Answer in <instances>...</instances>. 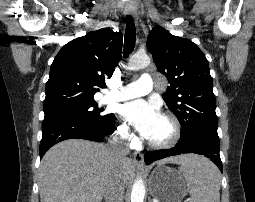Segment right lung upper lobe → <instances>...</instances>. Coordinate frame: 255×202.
<instances>
[{"instance_id":"obj_1","label":"right lung upper lobe","mask_w":255,"mask_h":202,"mask_svg":"<svg viewBox=\"0 0 255 202\" xmlns=\"http://www.w3.org/2000/svg\"><path fill=\"white\" fill-rule=\"evenodd\" d=\"M122 33L103 28L64 45L56 55L46 85L44 113L91 103L104 88L121 57Z\"/></svg>"}]
</instances>
